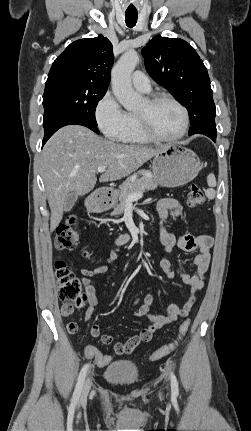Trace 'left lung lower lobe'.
<instances>
[{"mask_svg":"<svg viewBox=\"0 0 251 431\" xmlns=\"http://www.w3.org/2000/svg\"><path fill=\"white\" fill-rule=\"evenodd\" d=\"M198 132L204 134V131H202V130H199ZM212 140L216 141V138H213Z\"/></svg>","mask_w":251,"mask_h":431,"instance_id":"left-lung-lower-lobe-1","label":"left lung lower lobe"}]
</instances>
